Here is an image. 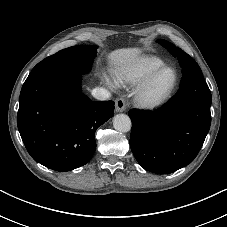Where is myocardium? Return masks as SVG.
<instances>
[{
  "label": "myocardium",
  "instance_id": "obj_1",
  "mask_svg": "<svg viewBox=\"0 0 227 227\" xmlns=\"http://www.w3.org/2000/svg\"><path fill=\"white\" fill-rule=\"evenodd\" d=\"M170 70L174 74V80L172 85L162 94L153 95L152 88L157 77L164 71ZM179 82V75L177 70L169 65H164L155 71H153L144 81H142L135 92V101L138 106L145 109H154L169 100L174 93Z\"/></svg>",
  "mask_w": 227,
  "mask_h": 227
}]
</instances>
